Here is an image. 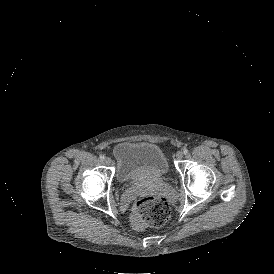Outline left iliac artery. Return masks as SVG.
I'll use <instances>...</instances> for the list:
<instances>
[{
	"label": "left iliac artery",
	"mask_w": 274,
	"mask_h": 274,
	"mask_svg": "<svg viewBox=\"0 0 274 274\" xmlns=\"http://www.w3.org/2000/svg\"><path fill=\"white\" fill-rule=\"evenodd\" d=\"M183 153L186 155V154H188V149H183Z\"/></svg>",
	"instance_id": "obj_1"
}]
</instances>
